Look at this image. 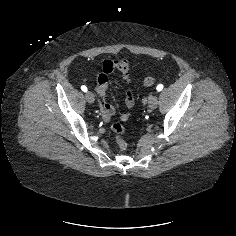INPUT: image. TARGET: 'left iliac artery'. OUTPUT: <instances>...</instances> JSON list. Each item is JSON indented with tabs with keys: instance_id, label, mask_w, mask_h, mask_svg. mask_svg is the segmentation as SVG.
I'll list each match as a JSON object with an SVG mask.
<instances>
[{
	"instance_id": "1",
	"label": "left iliac artery",
	"mask_w": 236,
	"mask_h": 236,
	"mask_svg": "<svg viewBox=\"0 0 236 236\" xmlns=\"http://www.w3.org/2000/svg\"><path fill=\"white\" fill-rule=\"evenodd\" d=\"M163 89V85L162 84H159L156 88L157 91H161Z\"/></svg>"
}]
</instances>
